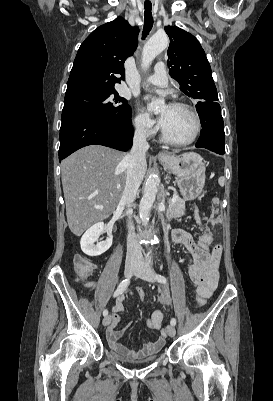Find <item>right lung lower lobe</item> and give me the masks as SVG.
Segmentation results:
<instances>
[{"label": "right lung lower lobe", "instance_id": "obj_1", "mask_svg": "<svg viewBox=\"0 0 273 401\" xmlns=\"http://www.w3.org/2000/svg\"><path fill=\"white\" fill-rule=\"evenodd\" d=\"M132 124H119L89 116L62 121L60 129L59 161L88 145H104L121 151L132 146Z\"/></svg>", "mask_w": 273, "mask_h": 401}]
</instances>
